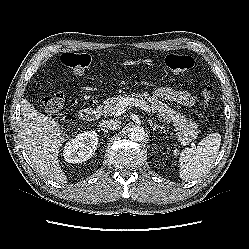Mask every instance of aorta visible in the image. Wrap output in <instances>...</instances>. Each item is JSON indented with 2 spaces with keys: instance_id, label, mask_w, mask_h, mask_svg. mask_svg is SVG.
<instances>
[{
  "instance_id": "1",
  "label": "aorta",
  "mask_w": 249,
  "mask_h": 249,
  "mask_svg": "<svg viewBox=\"0 0 249 249\" xmlns=\"http://www.w3.org/2000/svg\"><path fill=\"white\" fill-rule=\"evenodd\" d=\"M128 137L132 141H142L145 137L144 128L138 125L131 127L128 131Z\"/></svg>"
}]
</instances>
